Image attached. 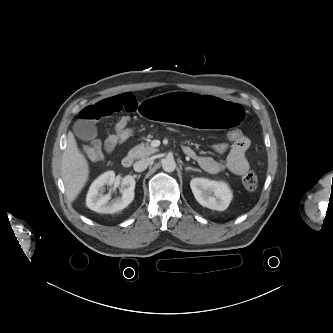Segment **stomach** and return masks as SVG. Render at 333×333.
Segmentation results:
<instances>
[{
  "label": "stomach",
  "instance_id": "obj_1",
  "mask_svg": "<svg viewBox=\"0 0 333 333\" xmlns=\"http://www.w3.org/2000/svg\"><path fill=\"white\" fill-rule=\"evenodd\" d=\"M139 111L151 122L212 133L239 128L248 116L245 106L240 103L215 95L185 92L152 95Z\"/></svg>",
  "mask_w": 333,
  "mask_h": 333
}]
</instances>
